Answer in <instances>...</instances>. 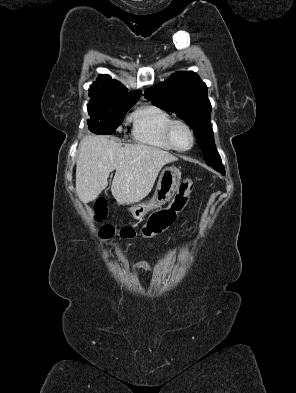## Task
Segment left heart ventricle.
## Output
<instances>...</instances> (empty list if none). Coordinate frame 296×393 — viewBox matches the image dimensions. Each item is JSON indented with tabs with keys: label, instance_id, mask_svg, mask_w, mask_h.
Here are the masks:
<instances>
[{
	"label": "left heart ventricle",
	"instance_id": "1",
	"mask_svg": "<svg viewBox=\"0 0 296 393\" xmlns=\"http://www.w3.org/2000/svg\"><path fill=\"white\" fill-rule=\"evenodd\" d=\"M173 140L179 148H188L191 145V135L183 125H176L173 129Z\"/></svg>",
	"mask_w": 296,
	"mask_h": 393
}]
</instances>
